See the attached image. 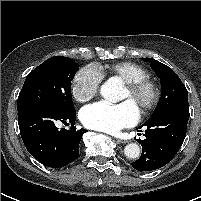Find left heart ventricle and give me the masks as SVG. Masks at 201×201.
Instances as JSON below:
<instances>
[{"mask_svg":"<svg viewBox=\"0 0 201 201\" xmlns=\"http://www.w3.org/2000/svg\"><path fill=\"white\" fill-rule=\"evenodd\" d=\"M148 94L146 92H142L137 96H131L130 92L127 88H124L121 101H130L137 109H139L140 105L145 102Z\"/></svg>","mask_w":201,"mask_h":201,"instance_id":"left-heart-ventricle-1","label":"left heart ventricle"}]
</instances>
